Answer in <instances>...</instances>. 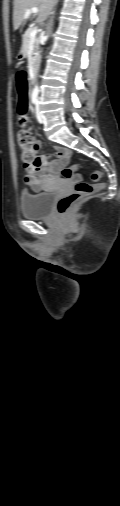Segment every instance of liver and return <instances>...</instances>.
I'll list each match as a JSON object with an SVG mask.
<instances>
[{
  "label": "liver",
  "mask_w": 120,
  "mask_h": 506,
  "mask_svg": "<svg viewBox=\"0 0 120 506\" xmlns=\"http://www.w3.org/2000/svg\"><path fill=\"white\" fill-rule=\"evenodd\" d=\"M55 0H14L13 23L14 29L31 17L32 12L26 16V11L32 7H37V21L43 22L50 13Z\"/></svg>",
  "instance_id": "6515ba94"
}]
</instances>
